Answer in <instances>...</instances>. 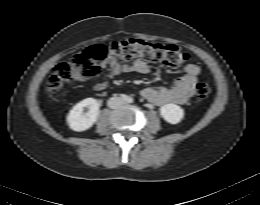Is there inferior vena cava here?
<instances>
[{"label": "inferior vena cava", "mask_w": 260, "mask_h": 205, "mask_svg": "<svg viewBox=\"0 0 260 205\" xmlns=\"http://www.w3.org/2000/svg\"><path fill=\"white\" fill-rule=\"evenodd\" d=\"M122 104V100L120 97H111L109 100H108V106L112 109L114 108H117L118 106H120Z\"/></svg>", "instance_id": "602c4592"}]
</instances>
